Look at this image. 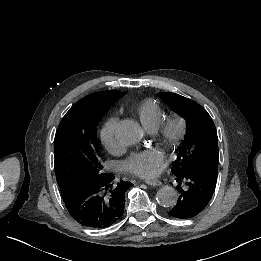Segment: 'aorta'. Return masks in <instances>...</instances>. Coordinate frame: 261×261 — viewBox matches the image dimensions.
<instances>
[{
    "instance_id": "1",
    "label": "aorta",
    "mask_w": 261,
    "mask_h": 261,
    "mask_svg": "<svg viewBox=\"0 0 261 261\" xmlns=\"http://www.w3.org/2000/svg\"><path fill=\"white\" fill-rule=\"evenodd\" d=\"M142 136L143 132L140 126L133 120H122L117 125L116 138L124 145L137 144L142 139ZM156 199L158 204L163 207H173L177 203L178 193L174 188L164 186L157 191Z\"/></svg>"
}]
</instances>
